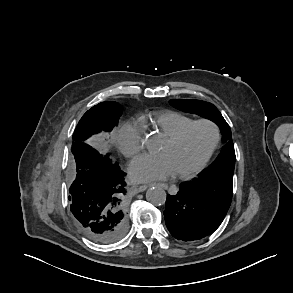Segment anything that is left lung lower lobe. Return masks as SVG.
<instances>
[{
	"label": "left lung lower lobe",
	"mask_w": 293,
	"mask_h": 293,
	"mask_svg": "<svg viewBox=\"0 0 293 293\" xmlns=\"http://www.w3.org/2000/svg\"><path fill=\"white\" fill-rule=\"evenodd\" d=\"M233 176H203L180 185L175 195H167L164 217L176 239L194 241L214 232L231 204Z\"/></svg>",
	"instance_id": "obj_1"
}]
</instances>
